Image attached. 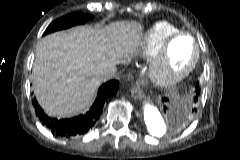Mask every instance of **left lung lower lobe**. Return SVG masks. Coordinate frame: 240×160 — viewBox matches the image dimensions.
Here are the masks:
<instances>
[{
	"instance_id": "0a47b994",
	"label": "left lung lower lobe",
	"mask_w": 240,
	"mask_h": 160,
	"mask_svg": "<svg viewBox=\"0 0 240 160\" xmlns=\"http://www.w3.org/2000/svg\"><path fill=\"white\" fill-rule=\"evenodd\" d=\"M196 89H197V93H196V96L194 97V102H196L198 100V96H199V91H198V86L196 85ZM164 102H167V99L164 98L163 100ZM164 110L166 111V106H164ZM196 111V108H192V113Z\"/></svg>"
}]
</instances>
